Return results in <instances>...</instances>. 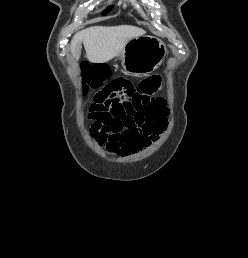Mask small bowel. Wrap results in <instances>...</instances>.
<instances>
[{
    "instance_id": "obj_1",
    "label": "small bowel",
    "mask_w": 248,
    "mask_h": 258,
    "mask_svg": "<svg viewBox=\"0 0 248 258\" xmlns=\"http://www.w3.org/2000/svg\"><path fill=\"white\" fill-rule=\"evenodd\" d=\"M161 79L148 78L135 87L128 79L119 77L108 82L98 93L118 102L122 113H129L123 128L111 133L93 130L97 142L112 155L138 152L155 142L167 123V108L163 98L156 96Z\"/></svg>"
}]
</instances>
